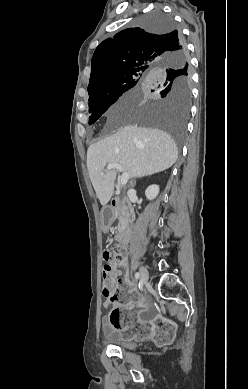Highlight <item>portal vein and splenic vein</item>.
<instances>
[{
    "instance_id": "portal-vein-and-splenic-vein-1",
    "label": "portal vein and splenic vein",
    "mask_w": 248,
    "mask_h": 389,
    "mask_svg": "<svg viewBox=\"0 0 248 389\" xmlns=\"http://www.w3.org/2000/svg\"><path fill=\"white\" fill-rule=\"evenodd\" d=\"M111 169H116V170H118L120 172L123 171L122 166L120 164H118V163L108 164L107 165V170H111ZM128 179H129L128 172H123L122 175H121V178H120L121 185H125L127 183Z\"/></svg>"
}]
</instances>
